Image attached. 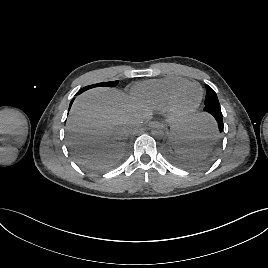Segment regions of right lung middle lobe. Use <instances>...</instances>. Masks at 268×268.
<instances>
[{"instance_id": "dd1d6c3e", "label": "right lung middle lobe", "mask_w": 268, "mask_h": 268, "mask_svg": "<svg viewBox=\"0 0 268 268\" xmlns=\"http://www.w3.org/2000/svg\"><path fill=\"white\" fill-rule=\"evenodd\" d=\"M117 84H118V81L102 82V83H98V84H94V85L84 87V88H82V91H85V90L93 88V87H100V86L115 87Z\"/></svg>"}]
</instances>
